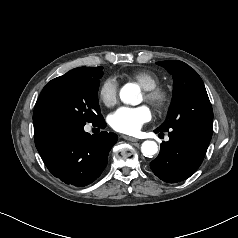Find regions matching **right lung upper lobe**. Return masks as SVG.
Segmentation results:
<instances>
[{"label":"right lung upper lobe","mask_w":238,"mask_h":238,"mask_svg":"<svg viewBox=\"0 0 238 238\" xmlns=\"http://www.w3.org/2000/svg\"><path fill=\"white\" fill-rule=\"evenodd\" d=\"M34 125L50 123L46 116V102L43 94H40L34 109L33 114Z\"/></svg>","instance_id":"right-lung-upper-lobe-1"}]
</instances>
